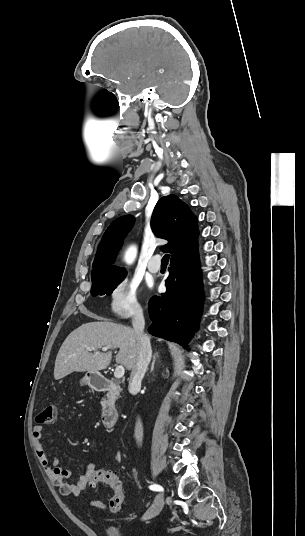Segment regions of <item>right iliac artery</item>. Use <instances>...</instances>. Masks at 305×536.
<instances>
[{"mask_svg":"<svg viewBox=\"0 0 305 536\" xmlns=\"http://www.w3.org/2000/svg\"><path fill=\"white\" fill-rule=\"evenodd\" d=\"M149 488L153 491H163V488L160 486V485H157V484H153L151 486H149Z\"/></svg>","mask_w":305,"mask_h":536,"instance_id":"obj_1","label":"right iliac artery"}]
</instances>
